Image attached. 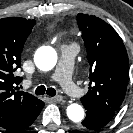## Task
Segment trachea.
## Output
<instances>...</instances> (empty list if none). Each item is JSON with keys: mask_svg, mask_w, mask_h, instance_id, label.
Wrapping results in <instances>:
<instances>
[{"mask_svg": "<svg viewBox=\"0 0 133 133\" xmlns=\"http://www.w3.org/2000/svg\"><path fill=\"white\" fill-rule=\"evenodd\" d=\"M47 94L49 96H55L56 95V90L54 88H47L43 85L38 86L35 90V94L36 95H43V94Z\"/></svg>", "mask_w": 133, "mask_h": 133, "instance_id": "obj_1", "label": "trachea"}]
</instances>
